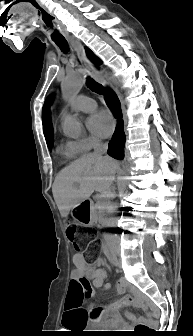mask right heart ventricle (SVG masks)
<instances>
[{
	"label": "right heart ventricle",
	"mask_w": 193,
	"mask_h": 336,
	"mask_svg": "<svg viewBox=\"0 0 193 336\" xmlns=\"http://www.w3.org/2000/svg\"><path fill=\"white\" fill-rule=\"evenodd\" d=\"M60 153L67 159H72L79 155L80 152L69 142L60 147Z\"/></svg>",
	"instance_id": "obj_1"
}]
</instances>
